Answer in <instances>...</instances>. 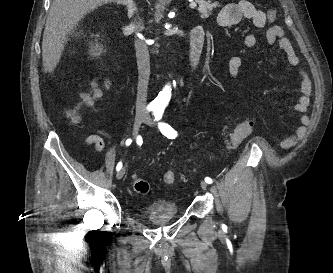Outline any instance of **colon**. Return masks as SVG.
<instances>
[{
  "label": "colon",
  "instance_id": "5ec220e1",
  "mask_svg": "<svg viewBox=\"0 0 333 273\" xmlns=\"http://www.w3.org/2000/svg\"><path fill=\"white\" fill-rule=\"evenodd\" d=\"M276 16L277 12L275 9H269L267 11V18L270 22H273L276 19ZM100 94L101 90L98 86H95L89 92L84 93L79 104L68 111L67 114L70 120L74 123L77 122L80 118V108L84 106H91ZM255 123L256 121L253 118H247L239 122L231 132L226 142V148L229 151L235 150L250 135ZM163 180L166 184L171 185L175 183L176 175L174 172L168 171L164 174ZM133 186L134 189L140 194H147L150 191L148 182L139 178L137 175L133 176Z\"/></svg>",
  "mask_w": 333,
  "mask_h": 273
}]
</instances>
